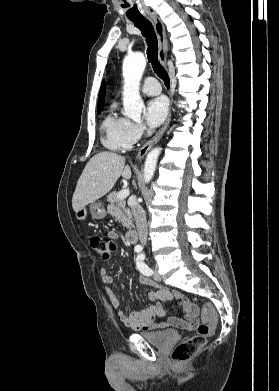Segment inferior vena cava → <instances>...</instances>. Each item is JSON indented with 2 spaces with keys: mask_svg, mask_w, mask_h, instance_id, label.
<instances>
[{
  "mask_svg": "<svg viewBox=\"0 0 279 391\" xmlns=\"http://www.w3.org/2000/svg\"><path fill=\"white\" fill-rule=\"evenodd\" d=\"M131 210L135 219L139 240L142 245H146L148 230L145 211L137 201L131 205Z\"/></svg>",
  "mask_w": 279,
  "mask_h": 391,
  "instance_id": "obj_1",
  "label": "inferior vena cava"
}]
</instances>
